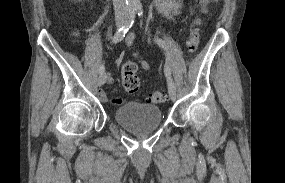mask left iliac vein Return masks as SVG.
Returning a JSON list of instances; mask_svg holds the SVG:
<instances>
[{"label": "left iliac vein", "instance_id": "4c4485c4", "mask_svg": "<svg viewBox=\"0 0 285 183\" xmlns=\"http://www.w3.org/2000/svg\"><path fill=\"white\" fill-rule=\"evenodd\" d=\"M169 95L172 101L176 100L177 94L176 89L169 87Z\"/></svg>", "mask_w": 285, "mask_h": 183}]
</instances>
